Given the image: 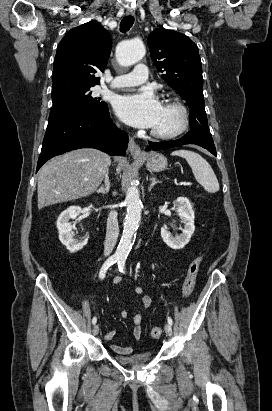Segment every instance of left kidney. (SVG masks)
I'll return each instance as SVG.
<instances>
[{
  "mask_svg": "<svg viewBox=\"0 0 272 411\" xmlns=\"http://www.w3.org/2000/svg\"><path fill=\"white\" fill-rule=\"evenodd\" d=\"M176 211L184 223L182 234L173 237L165 228L161 229V237L163 241L172 249H182L191 239L195 230L194 226V211L190 201L185 197H178L174 202Z\"/></svg>",
  "mask_w": 272,
  "mask_h": 411,
  "instance_id": "1",
  "label": "left kidney"
}]
</instances>
